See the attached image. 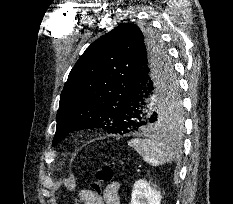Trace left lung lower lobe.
Returning <instances> with one entry per match:
<instances>
[{
	"label": "left lung lower lobe",
	"mask_w": 233,
	"mask_h": 204,
	"mask_svg": "<svg viewBox=\"0 0 233 204\" xmlns=\"http://www.w3.org/2000/svg\"><path fill=\"white\" fill-rule=\"evenodd\" d=\"M173 82L177 85L175 72L170 73L163 53L150 55L144 50L139 53L116 116V125L123 134L161 131L156 105Z\"/></svg>",
	"instance_id": "left-lung-lower-lobe-1"
}]
</instances>
